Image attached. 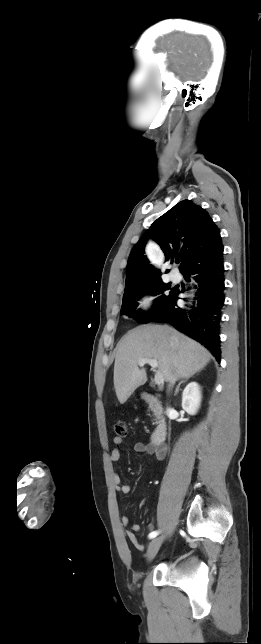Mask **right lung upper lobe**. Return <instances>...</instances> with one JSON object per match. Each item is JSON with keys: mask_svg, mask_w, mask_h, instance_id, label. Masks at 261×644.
<instances>
[{"mask_svg": "<svg viewBox=\"0 0 261 644\" xmlns=\"http://www.w3.org/2000/svg\"><path fill=\"white\" fill-rule=\"evenodd\" d=\"M148 232L160 245L166 261L180 260V271L222 257L219 228L205 209L191 200H183L159 217L133 247L127 263L125 289L161 280L160 270L144 255Z\"/></svg>", "mask_w": 261, "mask_h": 644, "instance_id": "1", "label": "right lung upper lobe"}]
</instances>
